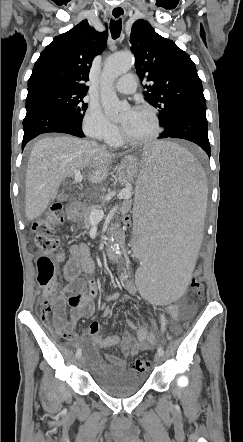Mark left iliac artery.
<instances>
[{
  "label": "left iliac artery",
  "instance_id": "1",
  "mask_svg": "<svg viewBox=\"0 0 243 442\" xmlns=\"http://www.w3.org/2000/svg\"><path fill=\"white\" fill-rule=\"evenodd\" d=\"M160 321H161V330L164 331L165 330V326H166V319L163 315L160 316ZM158 354H160L161 356L164 355V350L162 347L158 348Z\"/></svg>",
  "mask_w": 243,
  "mask_h": 442
}]
</instances>
